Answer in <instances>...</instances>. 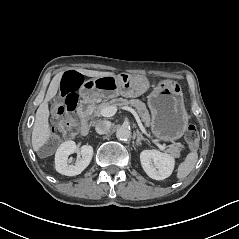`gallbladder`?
Segmentation results:
<instances>
[{"label": "gallbladder", "instance_id": "obj_1", "mask_svg": "<svg viewBox=\"0 0 239 239\" xmlns=\"http://www.w3.org/2000/svg\"><path fill=\"white\" fill-rule=\"evenodd\" d=\"M49 103L52 104V101H50ZM45 150H46V148H42V149L39 151V153L44 152Z\"/></svg>", "mask_w": 239, "mask_h": 239}]
</instances>
